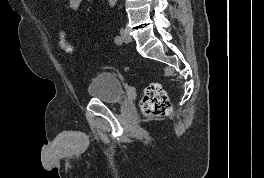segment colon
Wrapping results in <instances>:
<instances>
[{
  "instance_id": "colon-1",
  "label": "colon",
  "mask_w": 264,
  "mask_h": 178,
  "mask_svg": "<svg viewBox=\"0 0 264 178\" xmlns=\"http://www.w3.org/2000/svg\"><path fill=\"white\" fill-rule=\"evenodd\" d=\"M58 41L59 46L64 52L68 54L74 52L73 45L68 41L65 32L61 29L58 31ZM141 109L145 115L151 117L169 114L171 103L161 84L152 82L146 87L141 101Z\"/></svg>"
}]
</instances>
